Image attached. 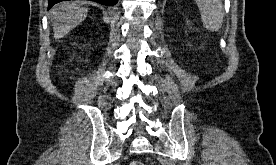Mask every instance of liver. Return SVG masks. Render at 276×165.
I'll return each mask as SVG.
<instances>
[{"label": "liver", "mask_w": 276, "mask_h": 165, "mask_svg": "<svg viewBox=\"0 0 276 165\" xmlns=\"http://www.w3.org/2000/svg\"><path fill=\"white\" fill-rule=\"evenodd\" d=\"M88 14V8L76 2H61L50 11L54 38L59 39L80 24Z\"/></svg>", "instance_id": "obj_1"}]
</instances>
